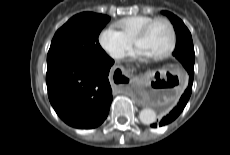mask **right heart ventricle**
I'll return each instance as SVG.
<instances>
[{
  "label": "right heart ventricle",
  "instance_id": "obj_1",
  "mask_svg": "<svg viewBox=\"0 0 230 155\" xmlns=\"http://www.w3.org/2000/svg\"><path fill=\"white\" fill-rule=\"evenodd\" d=\"M155 17L134 15L118 20L115 27L130 41H133L140 29Z\"/></svg>",
  "mask_w": 230,
  "mask_h": 155
}]
</instances>
